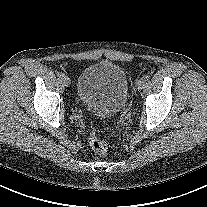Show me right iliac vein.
I'll return each instance as SVG.
<instances>
[{"instance_id":"right-iliac-vein-1","label":"right iliac vein","mask_w":207,"mask_h":207,"mask_svg":"<svg viewBox=\"0 0 207 207\" xmlns=\"http://www.w3.org/2000/svg\"><path fill=\"white\" fill-rule=\"evenodd\" d=\"M61 79H62L63 84H64L66 87L70 86V84H71V80H70V78H69L68 76H65V75H64Z\"/></svg>"}]
</instances>
